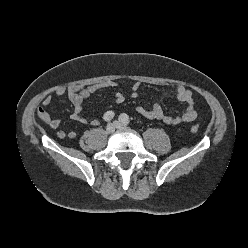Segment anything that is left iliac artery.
Segmentation results:
<instances>
[{"mask_svg": "<svg viewBox=\"0 0 248 248\" xmlns=\"http://www.w3.org/2000/svg\"><path fill=\"white\" fill-rule=\"evenodd\" d=\"M119 120H120L123 124H125V125H128L129 122H130L129 116H128L127 114H125V113H123V114H121V115L119 116Z\"/></svg>", "mask_w": 248, "mask_h": 248, "instance_id": "obj_1", "label": "left iliac artery"}]
</instances>
